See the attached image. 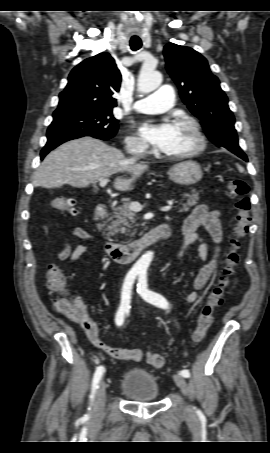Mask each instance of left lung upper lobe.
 Instances as JSON below:
<instances>
[{"label": "left lung upper lobe", "instance_id": "1", "mask_svg": "<svg viewBox=\"0 0 270 453\" xmlns=\"http://www.w3.org/2000/svg\"><path fill=\"white\" fill-rule=\"evenodd\" d=\"M164 57L183 102L201 120L209 139L231 152L240 151L228 99L207 60L192 48L174 43L164 47Z\"/></svg>", "mask_w": 270, "mask_h": 453}]
</instances>
